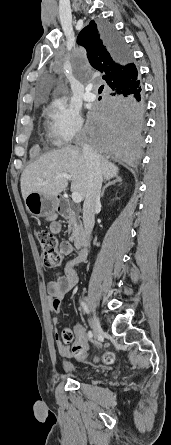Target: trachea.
I'll use <instances>...</instances> for the list:
<instances>
[{
	"label": "trachea",
	"mask_w": 171,
	"mask_h": 445,
	"mask_svg": "<svg viewBox=\"0 0 171 445\" xmlns=\"http://www.w3.org/2000/svg\"><path fill=\"white\" fill-rule=\"evenodd\" d=\"M103 89H104V85L100 86L99 93H102Z\"/></svg>",
	"instance_id": "3493384b"
}]
</instances>
